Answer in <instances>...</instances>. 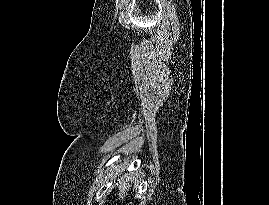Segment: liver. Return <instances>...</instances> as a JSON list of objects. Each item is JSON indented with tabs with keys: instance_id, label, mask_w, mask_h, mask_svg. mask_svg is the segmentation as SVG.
Listing matches in <instances>:
<instances>
[{
	"instance_id": "6515ba94",
	"label": "liver",
	"mask_w": 269,
	"mask_h": 205,
	"mask_svg": "<svg viewBox=\"0 0 269 205\" xmlns=\"http://www.w3.org/2000/svg\"><path fill=\"white\" fill-rule=\"evenodd\" d=\"M119 190H120L119 199L121 198L123 200L124 197L127 195V191H128L126 183L123 180L119 182Z\"/></svg>"
}]
</instances>
